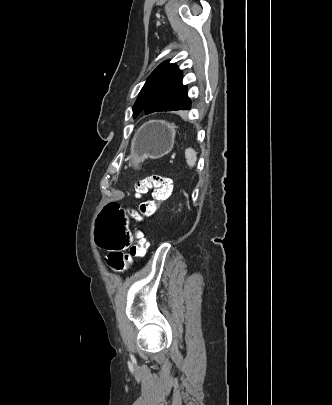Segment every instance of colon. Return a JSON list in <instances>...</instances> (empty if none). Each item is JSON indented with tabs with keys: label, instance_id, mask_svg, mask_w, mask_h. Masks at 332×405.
<instances>
[{
	"label": "colon",
	"instance_id": "1",
	"mask_svg": "<svg viewBox=\"0 0 332 405\" xmlns=\"http://www.w3.org/2000/svg\"><path fill=\"white\" fill-rule=\"evenodd\" d=\"M152 190L153 200L143 201L137 211L122 207V202H103V211L97 212L94 241L100 249L101 257H111L110 265L115 271H123L133 257L146 254L149 241L143 232L129 227L128 217L142 220L156 211L157 202L170 197L173 191L172 180L162 175H151L135 185L137 195ZM129 249L128 254H123ZM121 253V254H120Z\"/></svg>",
	"mask_w": 332,
	"mask_h": 405
}]
</instances>
